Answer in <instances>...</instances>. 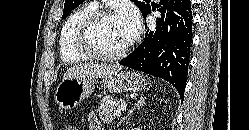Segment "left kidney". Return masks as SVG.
Returning <instances> with one entry per match:
<instances>
[{
    "mask_svg": "<svg viewBox=\"0 0 249 130\" xmlns=\"http://www.w3.org/2000/svg\"><path fill=\"white\" fill-rule=\"evenodd\" d=\"M134 130H140V128H134Z\"/></svg>",
    "mask_w": 249,
    "mask_h": 130,
    "instance_id": "left-kidney-1",
    "label": "left kidney"
}]
</instances>
